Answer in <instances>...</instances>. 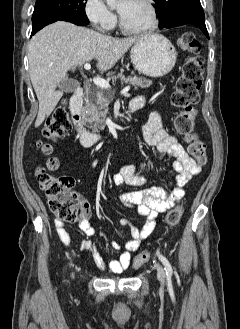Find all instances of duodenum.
Instances as JSON below:
<instances>
[{"instance_id": "1", "label": "duodenum", "mask_w": 240, "mask_h": 329, "mask_svg": "<svg viewBox=\"0 0 240 329\" xmlns=\"http://www.w3.org/2000/svg\"><path fill=\"white\" fill-rule=\"evenodd\" d=\"M82 106H83V89L78 88L72 94L70 99L71 120L74 125V129L78 132L80 136L82 145L85 148H91L98 141H100L103 138V136L101 134L89 132L83 127ZM129 108L131 111H135L137 109V107L133 103H130Z\"/></svg>"}]
</instances>
